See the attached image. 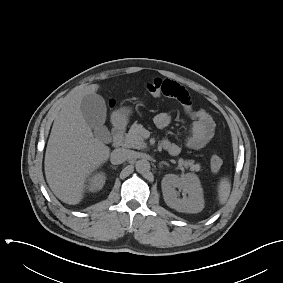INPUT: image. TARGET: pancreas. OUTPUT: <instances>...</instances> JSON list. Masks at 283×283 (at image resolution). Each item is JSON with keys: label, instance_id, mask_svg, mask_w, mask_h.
Returning a JSON list of instances; mask_svg holds the SVG:
<instances>
[{"label": "pancreas", "instance_id": "1", "mask_svg": "<svg viewBox=\"0 0 283 283\" xmlns=\"http://www.w3.org/2000/svg\"><path fill=\"white\" fill-rule=\"evenodd\" d=\"M144 127L141 124L134 123L129 132L126 134L124 138V146L127 148H135V149H144L146 148V143L142 137V133L144 132ZM179 166H184L185 168H190L191 171H200V164H195L194 160H178Z\"/></svg>", "mask_w": 283, "mask_h": 283}]
</instances>
